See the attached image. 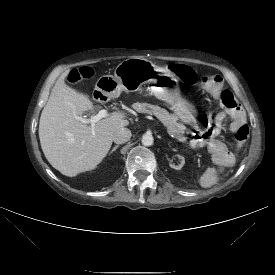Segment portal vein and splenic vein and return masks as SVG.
I'll use <instances>...</instances> for the list:
<instances>
[{"label": "portal vein and splenic vein", "instance_id": "obj_1", "mask_svg": "<svg viewBox=\"0 0 275 275\" xmlns=\"http://www.w3.org/2000/svg\"><path fill=\"white\" fill-rule=\"evenodd\" d=\"M109 113L106 109H102L98 112V114L91 116L90 118H84L81 116H77L76 118L80 120L84 124H91L92 127H94L95 123L100 121L101 119L108 117ZM148 119L154 120L155 119L152 116H148Z\"/></svg>", "mask_w": 275, "mask_h": 275}]
</instances>
